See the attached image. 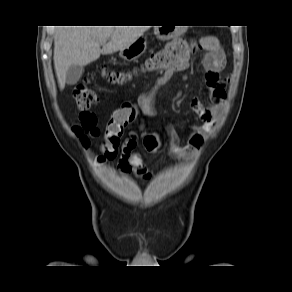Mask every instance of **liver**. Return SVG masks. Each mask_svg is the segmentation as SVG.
<instances>
[{"label": "liver", "mask_w": 292, "mask_h": 292, "mask_svg": "<svg viewBox=\"0 0 292 292\" xmlns=\"http://www.w3.org/2000/svg\"><path fill=\"white\" fill-rule=\"evenodd\" d=\"M145 26H59L54 35V67L61 90L72 65L85 66L101 54H112L133 44ZM110 38L103 45L101 43Z\"/></svg>", "instance_id": "liver-1"}]
</instances>
